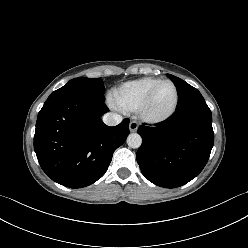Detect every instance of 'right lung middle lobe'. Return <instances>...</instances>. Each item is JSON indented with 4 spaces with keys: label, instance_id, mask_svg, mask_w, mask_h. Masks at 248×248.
I'll list each match as a JSON object with an SVG mask.
<instances>
[{
    "label": "right lung middle lobe",
    "instance_id": "right-lung-middle-lobe-1",
    "mask_svg": "<svg viewBox=\"0 0 248 248\" xmlns=\"http://www.w3.org/2000/svg\"><path fill=\"white\" fill-rule=\"evenodd\" d=\"M85 94L104 101L105 87L99 78L79 77L70 80L66 85L54 91L48 98L63 94Z\"/></svg>",
    "mask_w": 248,
    "mask_h": 248
}]
</instances>
